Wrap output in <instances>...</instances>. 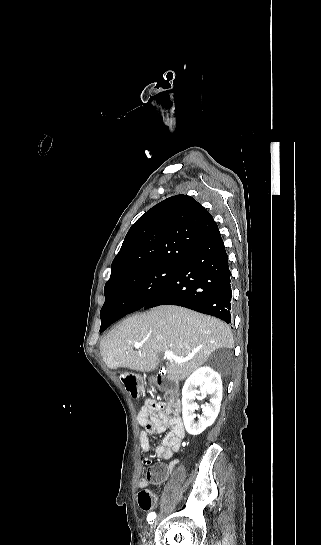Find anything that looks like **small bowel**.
<instances>
[{
    "mask_svg": "<svg viewBox=\"0 0 321 545\" xmlns=\"http://www.w3.org/2000/svg\"><path fill=\"white\" fill-rule=\"evenodd\" d=\"M137 421L141 427L139 446L145 455L150 451V434H164L161 443L155 448L157 458L169 460L179 450L185 437V429L174 401L160 403L154 399L145 400L137 415ZM146 461H149L148 457ZM178 464L180 460L174 459L169 464L159 463L150 467L147 475L138 479V487L146 488L150 483L158 484L165 481Z\"/></svg>",
    "mask_w": 321,
    "mask_h": 545,
    "instance_id": "1",
    "label": "small bowel"
}]
</instances>
